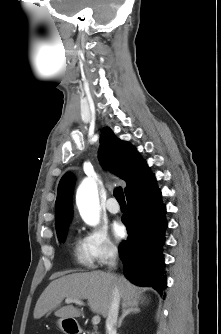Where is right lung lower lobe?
Masks as SVG:
<instances>
[{"mask_svg":"<svg viewBox=\"0 0 221 334\" xmlns=\"http://www.w3.org/2000/svg\"><path fill=\"white\" fill-rule=\"evenodd\" d=\"M126 196L128 212L122 222L129 236L119 247L124 274L131 282L153 287L162 295L166 288L162 252L167 221L154 175Z\"/></svg>","mask_w":221,"mask_h":334,"instance_id":"obj_1","label":"right lung lower lobe"}]
</instances>
